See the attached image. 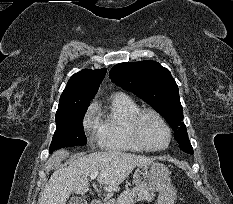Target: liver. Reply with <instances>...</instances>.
Masks as SVG:
<instances>
[{
    "label": "liver",
    "mask_w": 233,
    "mask_h": 204,
    "mask_svg": "<svg viewBox=\"0 0 233 204\" xmlns=\"http://www.w3.org/2000/svg\"><path fill=\"white\" fill-rule=\"evenodd\" d=\"M68 155L65 150L56 151L50 162L59 165ZM152 161L151 158L119 151L78 157L52 174L40 193L38 204H66L72 192L86 193L89 190L88 176L95 171H100L97 178L100 186L115 191L135 167Z\"/></svg>",
    "instance_id": "obj_1"
}]
</instances>
